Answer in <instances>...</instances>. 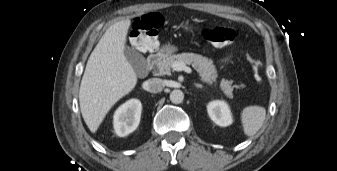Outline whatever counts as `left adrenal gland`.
<instances>
[{
	"mask_svg": "<svg viewBox=\"0 0 337 171\" xmlns=\"http://www.w3.org/2000/svg\"><path fill=\"white\" fill-rule=\"evenodd\" d=\"M197 88H203L201 84H195Z\"/></svg>",
	"mask_w": 337,
	"mask_h": 171,
	"instance_id": "obj_1",
	"label": "left adrenal gland"
}]
</instances>
